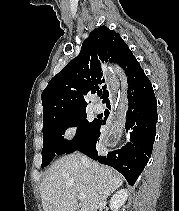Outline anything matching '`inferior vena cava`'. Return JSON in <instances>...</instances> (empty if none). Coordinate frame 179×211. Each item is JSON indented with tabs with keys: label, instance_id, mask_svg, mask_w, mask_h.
I'll return each mask as SVG.
<instances>
[{
	"label": "inferior vena cava",
	"instance_id": "inferior-vena-cava-1",
	"mask_svg": "<svg viewBox=\"0 0 179 211\" xmlns=\"http://www.w3.org/2000/svg\"><path fill=\"white\" fill-rule=\"evenodd\" d=\"M81 160L84 164H87L88 163V159L85 157V156H82L81 157Z\"/></svg>",
	"mask_w": 179,
	"mask_h": 211
}]
</instances>
